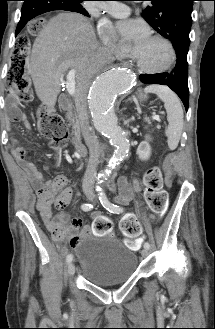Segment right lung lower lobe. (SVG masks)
<instances>
[{"instance_id": "1", "label": "right lung lower lobe", "mask_w": 215, "mask_h": 329, "mask_svg": "<svg viewBox=\"0 0 215 329\" xmlns=\"http://www.w3.org/2000/svg\"><path fill=\"white\" fill-rule=\"evenodd\" d=\"M53 10L72 11L89 16L84 8L77 9L68 0H24L21 10V18L16 29V35L23 29L29 20L40 14Z\"/></svg>"}]
</instances>
